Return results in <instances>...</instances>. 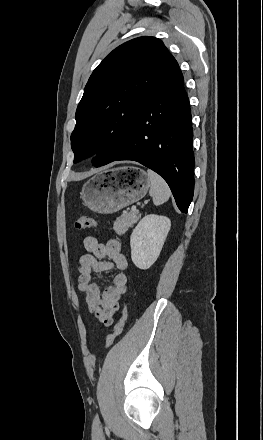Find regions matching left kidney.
I'll return each instance as SVG.
<instances>
[{"mask_svg": "<svg viewBox=\"0 0 263 440\" xmlns=\"http://www.w3.org/2000/svg\"><path fill=\"white\" fill-rule=\"evenodd\" d=\"M171 227L165 216L146 215L137 224L130 237L131 259L136 267L149 269L157 260Z\"/></svg>", "mask_w": 263, "mask_h": 440, "instance_id": "1", "label": "left kidney"}]
</instances>
